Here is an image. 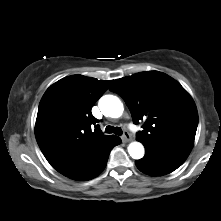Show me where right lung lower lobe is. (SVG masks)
<instances>
[{
  "label": "right lung lower lobe",
  "mask_w": 221,
  "mask_h": 221,
  "mask_svg": "<svg viewBox=\"0 0 221 221\" xmlns=\"http://www.w3.org/2000/svg\"><path fill=\"white\" fill-rule=\"evenodd\" d=\"M120 143L121 139L115 136L88 158L75 164L59 168L57 171L74 180L84 181L93 179L104 170L110 151Z\"/></svg>",
  "instance_id": "1"
}]
</instances>
